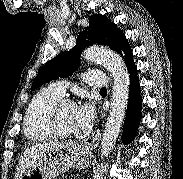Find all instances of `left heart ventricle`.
<instances>
[{
  "instance_id": "left-heart-ventricle-1",
  "label": "left heart ventricle",
  "mask_w": 183,
  "mask_h": 179,
  "mask_svg": "<svg viewBox=\"0 0 183 179\" xmlns=\"http://www.w3.org/2000/svg\"><path fill=\"white\" fill-rule=\"evenodd\" d=\"M57 125L60 130L65 132H77L79 131L77 112L75 105L64 106L57 118Z\"/></svg>"
}]
</instances>
